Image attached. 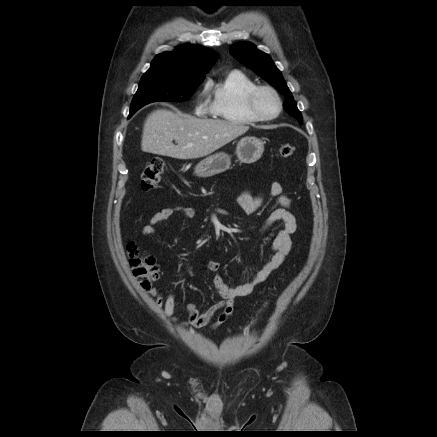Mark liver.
<instances>
[{"label":"liver","instance_id":"6515ba94","mask_svg":"<svg viewBox=\"0 0 437 437\" xmlns=\"http://www.w3.org/2000/svg\"><path fill=\"white\" fill-rule=\"evenodd\" d=\"M248 130L249 126L243 124L158 109L145 120L141 149L178 159L202 158Z\"/></svg>","mask_w":437,"mask_h":437}]
</instances>
